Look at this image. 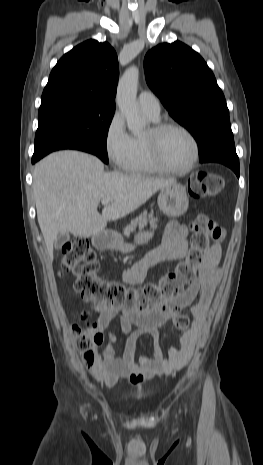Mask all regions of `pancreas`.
<instances>
[{
    "instance_id": "obj_1",
    "label": "pancreas",
    "mask_w": 263,
    "mask_h": 465,
    "mask_svg": "<svg viewBox=\"0 0 263 465\" xmlns=\"http://www.w3.org/2000/svg\"><path fill=\"white\" fill-rule=\"evenodd\" d=\"M157 221H158V218H155L153 216V213H150L148 214L147 212H144L142 213L140 216H138L137 218H135L134 220H132L130 222L129 225H127L124 229H123V234L124 236H126L127 238L130 237V234L135 232L136 228L138 227L140 230H142L145 226H147V224L149 223L150 224V227L151 228H156L157 227Z\"/></svg>"
}]
</instances>
